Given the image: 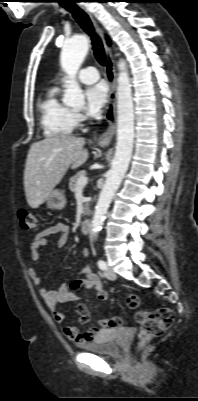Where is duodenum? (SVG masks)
I'll return each mask as SVG.
<instances>
[{
	"label": "duodenum",
	"mask_w": 198,
	"mask_h": 401,
	"mask_svg": "<svg viewBox=\"0 0 198 401\" xmlns=\"http://www.w3.org/2000/svg\"><path fill=\"white\" fill-rule=\"evenodd\" d=\"M81 231L84 233V234H87V233H89V231H90V229H91V220L89 219V218H87V219H84L82 222H81Z\"/></svg>",
	"instance_id": "410a0bca"
}]
</instances>
